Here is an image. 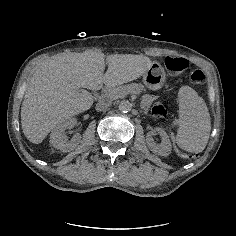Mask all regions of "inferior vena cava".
Returning a JSON list of instances; mask_svg holds the SVG:
<instances>
[{"mask_svg": "<svg viewBox=\"0 0 236 236\" xmlns=\"http://www.w3.org/2000/svg\"><path fill=\"white\" fill-rule=\"evenodd\" d=\"M110 105H111L110 102L101 101V102L97 103L96 110L97 111H105L110 107Z\"/></svg>", "mask_w": 236, "mask_h": 236, "instance_id": "602c4592", "label": "inferior vena cava"}]
</instances>
